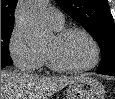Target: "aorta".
<instances>
[{
    "instance_id": "1",
    "label": "aorta",
    "mask_w": 115,
    "mask_h": 99,
    "mask_svg": "<svg viewBox=\"0 0 115 99\" xmlns=\"http://www.w3.org/2000/svg\"><path fill=\"white\" fill-rule=\"evenodd\" d=\"M46 4V0H26L17 6L16 23L31 48L48 42L49 32L42 19Z\"/></svg>"
}]
</instances>
